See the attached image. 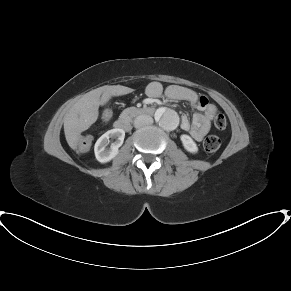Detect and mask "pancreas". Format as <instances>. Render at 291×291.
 <instances>
[{
    "label": "pancreas",
    "instance_id": "cf45deb5",
    "mask_svg": "<svg viewBox=\"0 0 291 291\" xmlns=\"http://www.w3.org/2000/svg\"><path fill=\"white\" fill-rule=\"evenodd\" d=\"M131 110H132V108L125 109V110L122 112L121 116H126V115H128V114L130 113Z\"/></svg>",
    "mask_w": 291,
    "mask_h": 291
}]
</instances>
